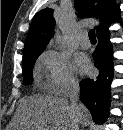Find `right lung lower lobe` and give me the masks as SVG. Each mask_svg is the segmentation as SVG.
<instances>
[{"label":"right lung lower lobe","mask_w":123,"mask_h":130,"mask_svg":"<svg viewBox=\"0 0 123 130\" xmlns=\"http://www.w3.org/2000/svg\"><path fill=\"white\" fill-rule=\"evenodd\" d=\"M108 29L97 34L98 46L93 53L99 75L94 79L80 82L81 101L90 110L97 124L107 120L110 106V85L113 78V48L109 41Z\"/></svg>","instance_id":"98d812e1"}]
</instances>
